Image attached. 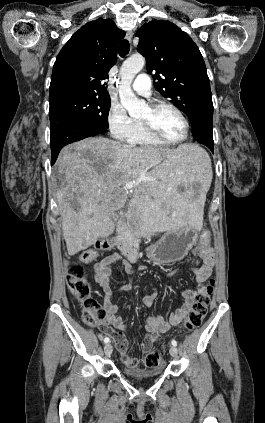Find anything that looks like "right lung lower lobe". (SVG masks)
<instances>
[{
    "mask_svg": "<svg viewBox=\"0 0 265 423\" xmlns=\"http://www.w3.org/2000/svg\"><path fill=\"white\" fill-rule=\"evenodd\" d=\"M51 123V164L56 161L61 148L69 143L106 132L105 129L72 116H61Z\"/></svg>",
    "mask_w": 265,
    "mask_h": 423,
    "instance_id": "98d812e1",
    "label": "right lung lower lobe"
}]
</instances>
